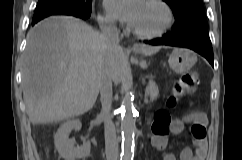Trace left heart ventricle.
I'll list each match as a JSON object with an SVG mask.
<instances>
[{"label": "left heart ventricle", "mask_w": 242, "mask_h": 160, "mask_svg": "<svg viewBox=\"0 0 242 160\" xmlns=\"http://www.w3.org/2000/svg\"><path fill=\"white\" fill-rule=\"evenodd\" d=\"M166 21V12L159 5L149 0H142L133 24L134 28L146 32L160 29Z\"/></svg>", "instance_id": "1"}]
</instances>
